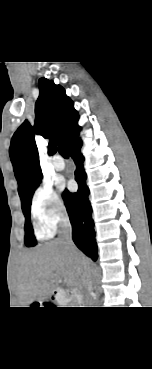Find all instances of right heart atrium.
Instances as JSON below:
<instances>
[{
    "label": "right heart atrium",
    "mask_w": 152,
    "mask_h": 369,
    "mask_svg": "<svg viewBox=\"0 0 152 369\" xmlns=\"http://www.w3.org/2000/svg\"><path fill=\"white\" fill-rule=\"evenodd\" d=\"M31 215L39 234H53L66 217V206L60 195L49 185L35 189L30 204Z\"/></svg>",
    "instance_id": "obj_1"
}]
</instances>
